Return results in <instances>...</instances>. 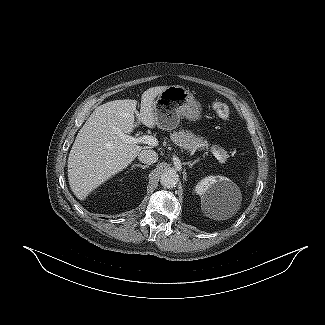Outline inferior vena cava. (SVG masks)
<instances>
[{
  "label": "inferior vena cava",
  "mask_w": 325,
  "mask_h": 325,
  "mask_svg": "<svg viewBox=\"0 0 325 325\" xmlns=\"http://www.w3.org/2000/svg\"><path fill=\"white\" fill-rule=\"evenodd\" d=\"M138 159L144 164L152 165L157 162L158 154L154 150L144 149L138 154Z\"/></svg>",
  "instance_id": "obj_1"
}]
</instances>
